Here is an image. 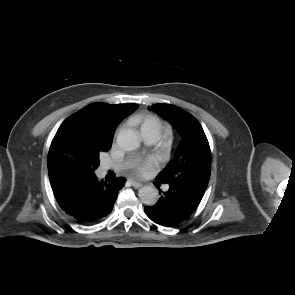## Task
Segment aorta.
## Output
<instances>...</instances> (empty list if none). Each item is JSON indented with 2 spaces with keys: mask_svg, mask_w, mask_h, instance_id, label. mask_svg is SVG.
<instances>
[{
  "mask_svg": "<svg viewBox=\"0 0 295 295\" xmlns=\"http://www.w3.org/2000/svg\"><path fill=\"white\" fill-rule=\"evenodd\" d=\"M117 144L125 151H132L140 146V138L134 130L125 129L118 134ZM138 196L142 203L152 206L158 200V191L155 187L144 186L139 189Z\"/></svg>",
  "mask_w": 295,
  "mask_h": 295,
  "instance_id": "762f6f07",
  "label": "aorta"
}]
</instances>
